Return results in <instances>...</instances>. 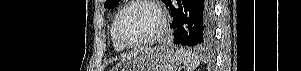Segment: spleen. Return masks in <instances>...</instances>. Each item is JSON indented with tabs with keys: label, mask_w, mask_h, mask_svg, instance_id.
<instances>
[{
	"label": "spleen",
	"mask_w": 301,
	"mask_h": 71,
	"mask_svg": "<svg viewBox=\"0 0 301 71\" xmlns=\"http://www.w3.org/2000/svg\"><path fill=\"white\" fill-rule=\"evenodd\" d=\"M176 55L183 64L185 71H193L200 63L198 56L190 51L178 49Z\"/></svg>",
	"instance_id": "1"
}]
</instances>
